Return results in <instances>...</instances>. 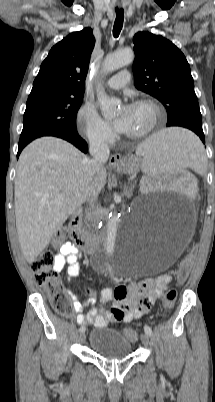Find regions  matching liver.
Wrapping results in <instances>:
<instances>
[{"mask_svg": "<svg viewBox=\"0 0 215 402\" xmlns=\"http://www.w3.org/2000/svg\"><path fill=\"white\" fill-rule=\"evenodd\" d=\"M106 177L105 167L94 175L90 159L62 139L41 137L24 148L18 161L14 200L18 239L28 263L37 259L94 191L100 193Z\"/></svg>", "mask_w": 215, "mask_h": 402, "instance_id": "6515ba94", "label": "liver"}]
</instances>
